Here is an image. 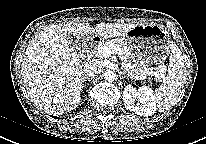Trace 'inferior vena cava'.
<instances>
[{"mask_svg":"<svg viewBox=\"0 0 206 144\" xmlns=\"http://www.w3.org/2000/svg\"><path fill=\"white\" fill-rule=\"evenodd\" d=\"M101 70V64L98 61H92L84 68L85 78H94L96 74H99Z\"/></svg>","mask_w":206,"mask_h":144,"instance_id":"obj_1","label":"inferior vena cava"}]
</instances>
